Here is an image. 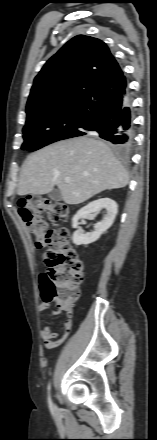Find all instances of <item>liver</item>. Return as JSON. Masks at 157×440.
<instances>
[{
  "mask_svg": "<svg viewBox=\"0 0 157 440\" xmlns=\"http://www.w3.org/2000/svg\"><path fill=\"white\" fill-rule=\"evenodd\" d=\"M128 182V172L111 149L103 141L85 136L30 154L22 166L17 194L43 195L56 185L63 201L76 205L104 190L123 188Z\"/></svg>",
  "mask_w": 157,
  "mask_h": 440,
  "instance_id": "obj_1",
  "label": "liver"
}]
</instances>
